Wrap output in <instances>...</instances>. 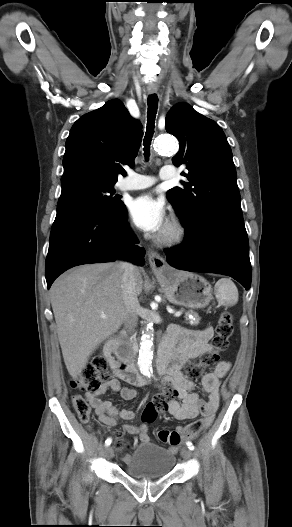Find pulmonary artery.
<instances>
[{"label":"pulmonary artery","instance_id":"1","mask_svg":"<svg viewBox=\"0 0 292 527\" xmlns=\"http://www.w3.org/2000/svg\"><path fill=\"white\" fill-rule=\"evenodd\" d=\"M175 175V170L172 166H163L159 173V178L162 180L172 179ZM157 179L153 176L142 175L135 172H130L120 184L119 188L122 190H139L151 187L156 183Z\"/></svg>","mask_w":292,"mask_h":527}]
</instances>
